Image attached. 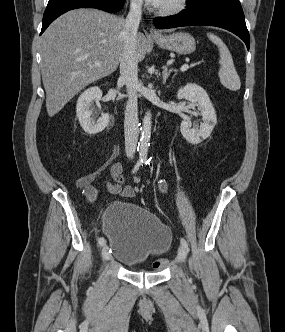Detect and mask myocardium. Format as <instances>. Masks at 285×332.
<instances>
[{"label":"myocardium","instance_id":"1","mask_svg":"<svg viewBox=\"0 0 285 332\" xmlns=\"http://www.w3.org/2000/svg\"><path fill=\"white\" fill-rule=\"evenodd\" d=\"M188 0H176L168 7H161L158 13L162 16H174L182 12L187 6Z\"/></svg>","mask_w":285,"mask_h":332}]
</instances>
